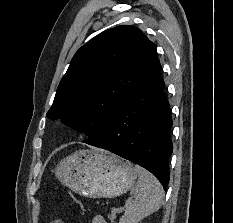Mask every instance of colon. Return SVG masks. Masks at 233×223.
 <instances>
[{"label": "colon", "instance_id": "5ec220e1", "mask_svg": "<svg viewBox=\"0 0 233 223\" xmlns=\"http://www.w3.org/2000/svg\"><path fill=\"white\" fill-rule=\"evenodd\" d=\"M52 223H64V222L61 218H57V219L53 220Z\"/></svg>", "mask_w": 233, "mask_h": 223}]
</instances>
